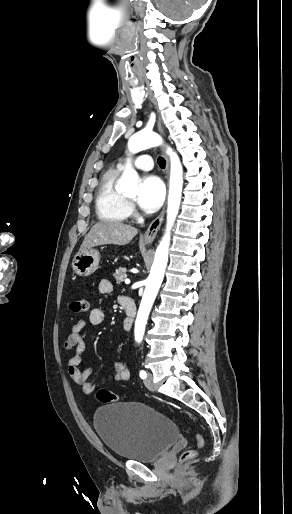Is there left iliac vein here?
<instances>
[{
    "label": "left iliac vein",
    "mask_w": 292,
    "mask_h": 514,
    "mask_svg": "<svg viewBox=\"0 0 292 514\" xmlns=\"http://www.w3.org/2000/svg\"><path fill=\"white\" fill-rule=\"evenodd\" d=\"M144 384H145L147 389H149L151 391L155 390V386H154V383H153V375L150 372L148 373L147 377L145 378Z\"/></svg>",
    "instance_id": "left-iliac-vein-1"
}]
</instances>
